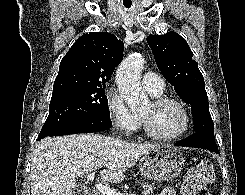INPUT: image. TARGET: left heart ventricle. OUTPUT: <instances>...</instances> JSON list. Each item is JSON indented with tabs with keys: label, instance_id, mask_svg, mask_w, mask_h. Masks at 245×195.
I'll return each instance as SVG.
<instances>
[{
	"label": "left heart ventricle",
	"instance_id": "b2bd125f",
	"mask_svg": "<svg viewBox=\"0 0 245 195\" xmlns=\"http://www.w3.org/2000/svg\"><path fill=\"white\" fill-rule=\"evenodd\" d=\"M151 129L161 135H171L178 132L184 124V114L179 106L175 104H164L154 108L148 103L141 111Z\"/></svg>",
	"mask_w": 245,
	"mask_h": 195
}]
</instances>
